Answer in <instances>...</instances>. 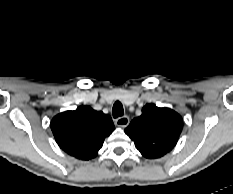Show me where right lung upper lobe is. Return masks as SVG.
Instances as JSON below:
<instances>
[{"label": "right lung upper lobe", "instance_id": "cb5924a9", "mask_svg": "<svg viewBox=\"0 0 233 194\" xmlns=\"http://www.w3.org/2000/svg\"><path fill=\"white\" fill-rule=\"evenodd\" d=\"M50 127L60 148L81 160L96 157L104 139L115 129L109 115L89 106L58 114Z\"/></svg>", "mask_w": 233, "mask_h": 194}]
</instances>
